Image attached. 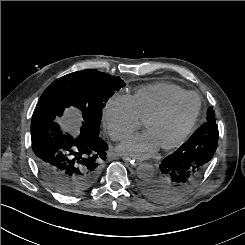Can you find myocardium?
Wrapping results in <instances>:
<instances>
[{
	"instance_id": "myocardium-1",
	"label": "myocardium",
	"mask_w": 245,
	"mask_h": 245,
	"mask_svg": "<svg viewBox=\"0 0 245 245\" xmlns=\"http://www.w3.org/2000/svg\"><path fill=\"white\" fill-rule=\"evenodd\" d=\"M190 97H195L198 101L197 110H196V113H195L193 119L191 120L189 125L185 128V130L179 135V137L177 139H175L171 143H168V144L161 146V148L163 150L175 149V148L181 146L186 141V139L188 138V136L192 132L193 128L195 127V125L198 121L200 112H201V100H200V98L195 93H189L188 92L185 95H182L180 97H177V98L169 101L168 103H166L163 107H161L159 110H157L155 113H153L149 118H147L144 121L145 128H148L152 123L164 118L176 105H178L179 103H181L182 101H184Z\"/></svg>"
}]
</instances>
